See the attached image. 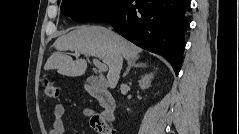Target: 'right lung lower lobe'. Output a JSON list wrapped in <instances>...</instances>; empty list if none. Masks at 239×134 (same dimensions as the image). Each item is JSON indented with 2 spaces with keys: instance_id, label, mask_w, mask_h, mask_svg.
Instances as JSON below:
<instances>
[{
  "instance_id": "right-lung-lower-lobe-1",
  "label": "right lung lower lobe",
  "mask_w": 239,
  "mask_h": 134,
  "mask_svg": "<svg viewBox=\"0 0 239 134\" xmlns=\"http://www.w3.org/2000/svg\"><path fill=\"white\" fill-rule=\"evenodd\" d=\"M120 0L112 9L91 22H107L137 46L164 56L176 75L181 69L185 48L184 16L188 0Z\"/></svg>"
}]
</instances>
